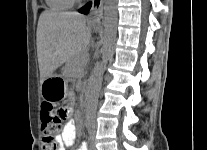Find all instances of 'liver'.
Masks as SVG:
<instances>
[{"label": "liver", "mask_w": 207, "mask_h": 150, "mask_svg": "<svg viewBox=\"0 0 207 150\" xmlns=\"http://www.w3.org/2000/svg\"><path fill=\"white\" fill-rule=\"evenodd\" d=\"M91 40V29L83 15L75 12L45 11L37 27V54L40 82L54 71L85 52Z\"/></svg>", "instance_id": "6515ba94"}]
</instances>
